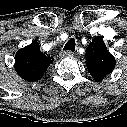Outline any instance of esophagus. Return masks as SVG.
I'll return each instance as SVG.
<instances>
[{
    "label": "esophagus",
    "mask_w": 127,
    "mask_h": 127,
    "mask_svg": "<svg viewBox=\"0 0 127 127\" xmlns=\"http://www.w3.org/2000/svg\"><path fill=\"white\" fill-rule=\"evenodd\" d=\"M59 55L64 58V57H70V56H73V52L69 51V50H64V51H61L59 53Z\"/></svg>",
    "instance_id": "1"
}]
</instances>
